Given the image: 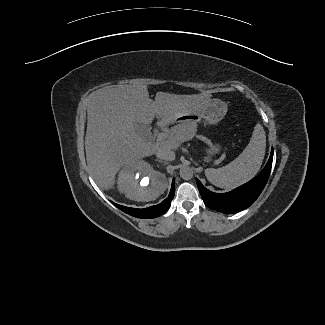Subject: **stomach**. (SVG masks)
<instances>
[{
	"label": "stomach",
	"instance_id": "1",
	"mask_svg": "<svg viewBox=\"0 0 325 325\" xmlns=\"http://www.w3.org/2000/svg\"><path fill=\"white\" fill-rule=\"evenodd\" d=\"M227 113V104L220 99H210L203 103L198 108L194 109L187 115L178 117L181 123H197L200 119H205L209 124L216 125L219 123ZM219 147L213 146L207 153L206 161L211 160V156L218 153Z\"/></svg>",
	"mask_w": 325,
	"mask_h": 325
}]
</instances>
